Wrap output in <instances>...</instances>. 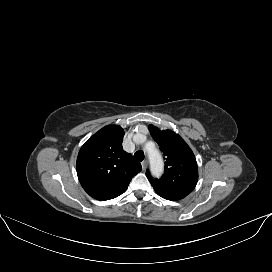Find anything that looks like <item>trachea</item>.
Masks as SVG:
<instances>
[{"instance_id":"1","label":"trachea","mask_w":272,"mask_h":272,"mask_svg":"<svg viewBox=\"0 0 272 272\" xmlns=\"http://www.w3.org/2000/svg\"><path fill=\"white\" fill-rule=\"evenodd\" d=\"M134 158H135L136 161L142 162L144 160V153H143V151H137V152H135Z\"/></svg>"}]
</instances>
